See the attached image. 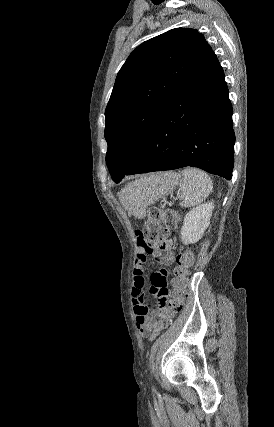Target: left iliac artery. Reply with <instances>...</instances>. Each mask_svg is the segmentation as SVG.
Instances as JSON below:
<instances>
[{
	"label": "left iliac artery",
	"instance_id": "left-iliac-artery-1",
	"mask_svg": "<svg viewBox=\"0 0 274 427\" xmlns=\"http://www.w3.org/2000/svg\"><path fill=\"white\" fill-rule=\"evenodd\" d=\"M152 390H153V392H156V390H155V388H154V387H152Z\"/></svg>",
	"mask_w": 274,
	"mask_h": 427
}]
</instances>
